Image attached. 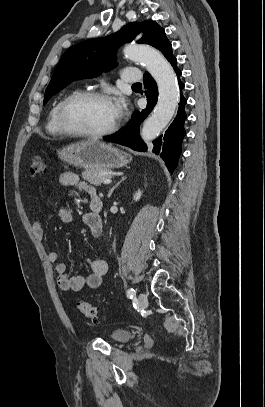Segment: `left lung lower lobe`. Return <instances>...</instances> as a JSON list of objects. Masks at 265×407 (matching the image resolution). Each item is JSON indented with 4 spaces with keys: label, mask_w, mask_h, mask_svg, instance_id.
I'll use <instances>...</instances> for the list:
<instances>
[{
    "label": "left lung lower lobe",
    "mask_w": 265,
    "mask_h": 407,
    "mask_svg": "<svg viewBox=\"0 0 265 407\" xmlns=\"http://www.w3.org/2000/svg\"><path fill=\"white\" fill-rule=\"evenodd\" d=\"M176 61V58H173L170 63L178 77V84L182 90L184 84L180 80L181 71L178 69ZM144 85L147 89V107L141 112L135 111L126 127L116 134L104 137V140L127 146L136 151H147L146 144L140 138L139 127L156 105L158 89L156 82L149 73L144 75ZM186 103V99L183 94H181L178 112L173 123L169 126L164 136H160L153 141V152L161 156L171 172H173L177 166L181 153L182 140L186 134L184 130V121L187 118L185 113Z\"/></svg>",
    "instance_id": "1"
}]
</instances>
